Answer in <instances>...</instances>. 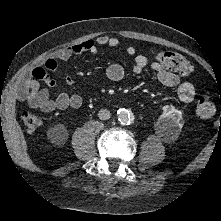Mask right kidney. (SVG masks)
I'll return each mask as SVG.
<instances>
[{
	"label": "right kidney",
	"instance_id": "obj_1",
	"mask_svg": "<svg viewBox=\"0 0 221 221\" xmlns=\"http://www.w3.org/2000/svg\"><path fill=\"white\" fill-rule=\"evenodd\" d=\"M51 136H54L55 138H61L65 135L66 131L63 125H56L49 131Z\"/></svg>",
	"mask_w": 221,
	"mask_h": 221
}]
</instances>
